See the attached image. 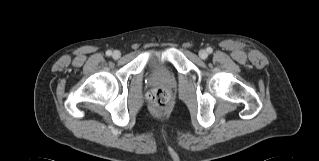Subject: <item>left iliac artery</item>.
<instances>
[{"label": "left iliac artery", "instance_id": "44dca946", "mask_svg": "<svg viewBox=\"0 0 319 161\" xmlns=\"http://www.w3.org/2000/svg\"><path fill=\"white\" fill-rule=\"evenodd\" d=\"M207 52H208L209 54H211V53L213 52V49H212L211 47H208V48H207Z\"/></svg>", "mask_w": 319, "mask_h": 161}]
</instances>
